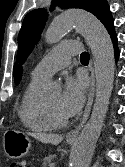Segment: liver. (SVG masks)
Here are the masks:
<instances>
[{
  "label": "liver",
  "instance_id": "liver-1",
  "mask_svg": "<svg viewBox=\"0 0 125 167\" xmlns=\"http://www.w3.org/2000/svg\"><path fill=\"white\" fill-rule=\"evenodd\" d=\"M28 135L33 136L42 143H50L52 145H58L63 140V137L57 134L29 133Z\"/></svg>",
  "mask_w": 125,
  "mask_h": 167
}]
</instances>
